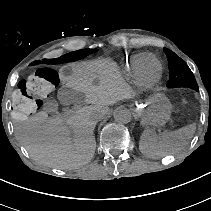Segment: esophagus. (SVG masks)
Listing matches in <instances>:
<instances>
[{
  "label": "esophagus",
  "mask_w": 211,
  "mask_h": 211,
  "mask_svg": "<svg viewBox=\"0 0 211 211\" xmlns=\"http://www.w3.org/2000/svg\"><path fill=\"white\" fill-rule=\"evenodd\" d=\"M127 107L130 110H140L142 109L143 104L140 101H130L128 102Z\"/></svg>",
  "instance_id": "esophagus-1"
}]
</instances>
